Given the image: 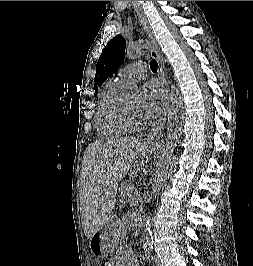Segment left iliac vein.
Masks as SVG:
<instances>
[{
	"label": "left iliac vein",
	"mask_w": 253,
	"mask_h": 266,
	"mask_svg": "<svg viewBox=\"0 0 253 266\" xmlns=\"http://www.w3.org/2000/svg\"><path fill=\"white\" fill-rule=\"evenodd\" d=\"M155 264H156V266H161L160 259H159L158 255H155Z\"/></svg>",
	"instance_id": "1"
}]
</instances>
